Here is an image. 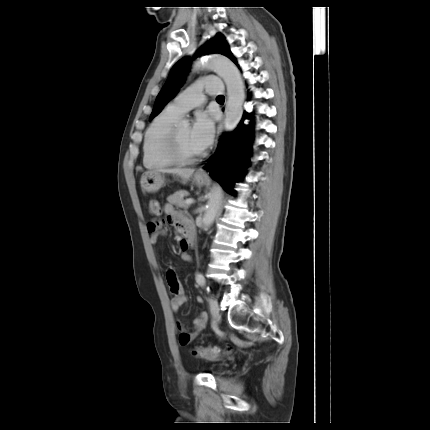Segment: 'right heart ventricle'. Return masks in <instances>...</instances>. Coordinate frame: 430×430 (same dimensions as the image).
I'll list each match as a JSON object with an SVG mask.
<instances>
[{"label": "right heart ventricle", "instance_id": "obj_1", "mask_svg": "<svg viewBox=\"0 0 430 430\" xmlns=\"http://www.w3.org/2000/svg\"><path fill=\"white\" fill-rule=\"evenodd\" d=\"M179 118L180 115L165 109L150 123L145 131L142 145L145 168L164 169L175 165L166 153L165 143L169 132L177 124Z\"/></svg>", "mask_w": 430, "mask_h": 430}]
</instances>
